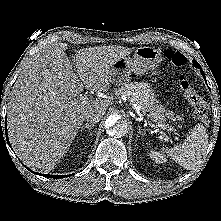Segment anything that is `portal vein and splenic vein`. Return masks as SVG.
<instances>
[{
	"mask_svg": "<svg viewBox=\"0 0 221 221\" xmlns=\"http://www.w3.org/2000/svg\"><path fill=\"white\" fill-rule=\"evenodd\" d=\"M87 99H88V97H87V96H82V97H81V100H84V101H85V100H87ZM134 106L136 107V105H134ZM136 110H138V111H139V110H140V107H139V106H137V107H136ZM157 127H161V128H163V129H165V126H164V125H162V124H160V125H154V128H157Z\"/></svg>",
	"mask_w": 221,
	"mask_h": 221,
	"instance_id": "18ae733b",
	"label": "portal vein and splenic vein"
}]
</instances>
